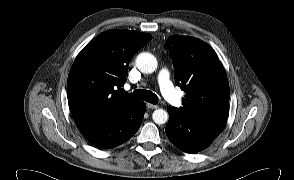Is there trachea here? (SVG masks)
Segmentation results:
<instances>
[{"mask_svg": "<svg viewBox=\"0 0 294 180\" xmlns=\"http://www.w3.org/2000/svg\"><path fill=\"white\" fill-rule=\"evenodd\" d=\"M127 95L133 99L145 100L152 104H157L158 102L157 95L148 90L138 89L135 90L133 93Z\"/></svg>", "mask_w": 294, "mask_h": 180, "instance_id": "trachea-1", "label": "trachea"}]
</instances>
